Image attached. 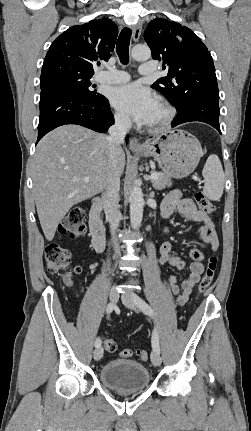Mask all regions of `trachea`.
Here are the masks:
<instances>
[{
	"mask_svg": "<svg viewBox=\"0 0 251 431\" xmlns=\"http://www.w3.org/2000/svg\"><path fill=\"white\" fill-rule=\"evenodd\" d=\"M132 31L129 28H123L116 44V52L120 62L124 65L129 62V45Z\"/></svg>",
	"mask_w": 251,
	"mask_h": 431,
	"instance_id": "trachea-1",
	"label": "trachea"
}]
</instances>
